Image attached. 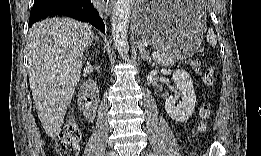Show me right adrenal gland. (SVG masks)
<instances>
[{
  "mask_svg": "<svg viewBox=\"0 0 261 156\" xmlns=\"http://www.w3.org/2000/svg\"><path fill=\"white\" fill-rule=\"evenodd\" d=\"M93 40H95V41L97 42V41H98V37L93 36V37H92V40H91L90 43H89V46H91V43H92Z\"/></svg>",
  "mask_w": 261,
  "mask_h": 156,
  "instance_id": "obj_1",
  "label": "right adrenal gland"
}]
</instances>
